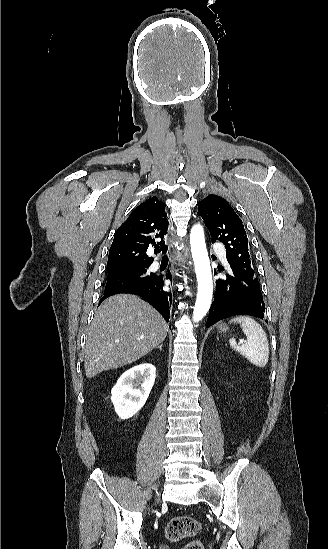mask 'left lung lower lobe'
<instances>
[{"label": "left lung lower lobe", "mask_w": 328, "mask_h": 549, "mask_svg": "<svg viewBox=\"0 0 328 549\" xmlns=\"http://www.w3.org/2000/svg\"><path fill=\"white\" fill-rule=\"evenodd\" d=\"M229 265L230 271L226 273V279L216 281V292L209 310L207 327L236 315L264 318L265 305L258 279L251 273Z\"/></svg>", "instance_id": "obj_1"}]
</instances>
